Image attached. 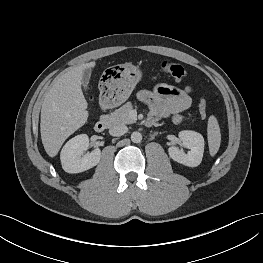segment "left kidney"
<instances>
[{
	"mask_svg": "<svg viewBox=\"0 0 263 263\" xmlns=\"http://www.w3.org/2000/svg\"><path fill=\"white\" fill-rule=\"evenodd\" d=\"M179 139L183 142V145L190 149L186 154L183 150H180L176 146H171L168 149L169 156L176 162L189 167L198 166L204 153V138L200 133L190 130H184L179 132Z\"/></svg>",
	"mask_w": 263,
	"mask_h": 263,
	"instance_id": "5707ae66",
	"label": "left kidney"
}]
</instances>
